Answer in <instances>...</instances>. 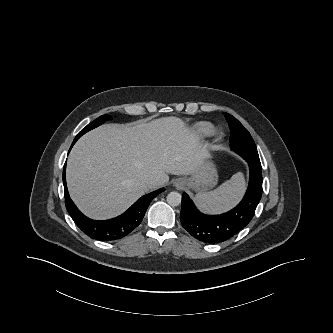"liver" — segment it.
I'll return each mask as SVG.
<instances>
[{"label": "liver", "instance_id": "1", "mask_svg": "<svg viewBox=\"0 0 333 333\" xmlns=\"http://www.w3.org/2000/svg\"><path fill=\"white\" fill-rule=\"evenodd\" d=\"M207 145L177 117L149 123L106 124L82 136L66 169L70 196L88 217H115L168 174L192 175L208 157ZM148 179L156 180L154 185Z\"/></svg>", "mask_w": 333, "mask_h": 333}]
</instances>
